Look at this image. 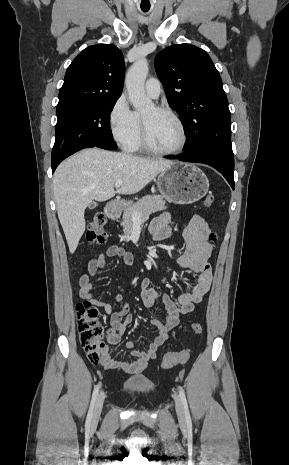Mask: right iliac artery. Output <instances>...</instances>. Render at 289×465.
<instances>
[{
    "instance_id": "obj_1",
    "label": "right iliac artery",
    "mask_w": 289,
    "mask_h": 465,
    "mask_svg": "<svg viewBox=\"0 0 289 465\" xmlns=\"http://www.w3.org/2000/svg\"><path fill=\"white\" fill-rule=\"evenodd\" d=\"M99 389H100V384H98V385H96L94 387L93 394H92V399H91V403H90V407H89V411H88V415H87V419H86V424L87 425H90V423H91L92 416H93L94 405H95V402H96V399H97V396H98V393H99Z\"/></svg>"
}]
</instances>
